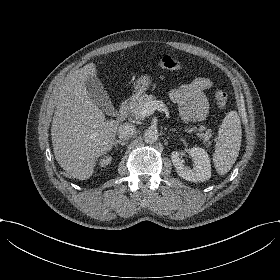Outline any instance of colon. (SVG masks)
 <instances>
[{
    "label": "colon",
    "mask_w": 280,
    "mask_h": 280,
    "mask_svg": "<svg viewBox=\"0 0 280 280\" xmlns=\"http://www.w3.org/2000/svg\"><path fill=\"white\" fill-rule=\"evenodd\" d=\"M180 63L175 58H170L167 61H165L162 65V68L165 72L170 73L172 71H175L179 68ZM214 97L217 102V105L220 108H225L227 106L228 98L227 93L222 90H217L214 92Z\"/></svg>",
    "instance_id": "colon-1"
}]
</instances>
